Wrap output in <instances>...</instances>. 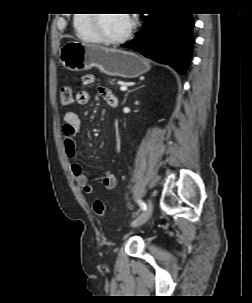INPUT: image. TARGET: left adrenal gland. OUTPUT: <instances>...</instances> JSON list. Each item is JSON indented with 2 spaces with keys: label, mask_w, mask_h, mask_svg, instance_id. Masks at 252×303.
Listing matches in <instances>:
<instances>
[{
  "label": "left adrenal gland",
  "mask_w": 252,
  "mask_h": 303,
  "mask_svg": "<svg viewBox=\"0 0 252 303\" xmlns=\"http://www.w3.org/2000/svg\"><path fill=\"white\" fill-rule=\"evenodd\" d=\"M144 85H142L141 87H143ZM139 88H136L135 90H137ZM135 90H132V91H135ZM131 91H128L126 94H125V97H124V100H123V104L126 102V99H127V96L128 94L130 93Z\"/></svg>",
  "instance_id": "a2214340"
}]
</instances>
